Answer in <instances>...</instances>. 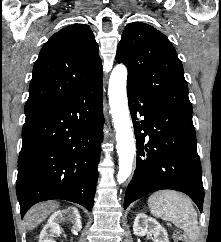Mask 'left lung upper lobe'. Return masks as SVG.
Returning <instances> with one entry per match:
<instances>
[{"instance_id": "obj_1", "label": "left lung upper lobe", "mask_w": 221, "mask_h": 242, "mask_svg": "<svg viewBox=\"0 0 221 242\" xmlns=\"http://www.w3.org/2000/svg\"><path fill=\"white\" fill-rule=\"evenodd\" d=\"M116 60L127 66L129 84L162 105L192 114L182 63L160 31L142 22L128 24Z\"/></svg>"}]
</instances>
